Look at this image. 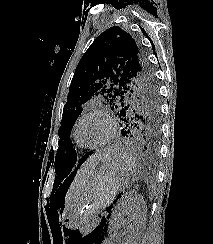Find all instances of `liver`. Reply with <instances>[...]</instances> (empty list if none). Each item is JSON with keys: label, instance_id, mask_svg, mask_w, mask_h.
I'll list each match as a JSON object with an SVG mask.
<instances>
[{"label": "liver", "instance_id": "1", "mask_svg": "<svg viewBox=\"0 0 213 244\" xmlns=\"http://www.w3.org/2000/svg\"><path fill=\"white\" fill-rule=\"evenodd\" d=\"M107 155V153H95L82 165L68 191L65 200L66 206L69 205L77 189L85 182L88 175L92 173V171L96 168L97 164L103 159H105Z\"/></svg>", "mask_w": 213, "mask_h": 244}]
</instances>
